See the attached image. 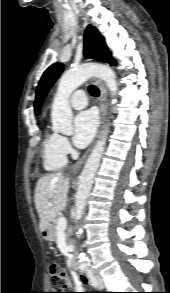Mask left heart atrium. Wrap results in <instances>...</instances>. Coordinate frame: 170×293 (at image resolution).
<instances>
[{
    "mask_svg": "<svg viewBox=\"0 0 170 293\" xmlns=\"http://www.w3.org/2000/svg\"><path fill=\"white\" fill-rule=\"evenodd\" d=\"M98 126L96 114L89 110L78 114L73 121L72 140L78 148L86 147L93 139Z\"/></svg>",
    "mask_w": 170,
    "mask_h": 293,
    "instance_id": "left-heart-atrium-1",
    "label": "left heart atrium"
}]
</instances>
